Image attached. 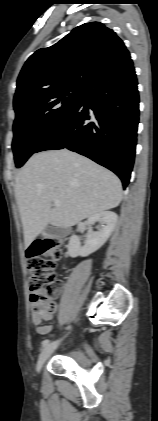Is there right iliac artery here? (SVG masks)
Wrapping results in <instances>:
<instances>
[{"label": "right iliac artery", "instance_id": "obj_1", "mask_svg": "<svg viewBox=\"0 0 158 421\" xmlns=\"http://www.w3.org/2000/svg\"><path fill=\"white\" fill-rule=\"evenodd\" d=\"M49 344V340L48 339H46V340H44L43 342H42V347H45V346H47Z\"/></svg>", "mask_w": 158, "mask_h": 421}]
</instances>
